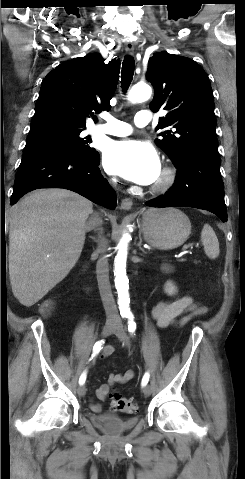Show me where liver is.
Segmentation results:
<instances>
[{
    "label": "liver",
    "instance_id": "1",
    "mask_svg": "<svg viewBox=\"0 0 245 479\" xmlns=\"http://www.w3.org/2000/svg\"><path fill=\"white\" fill-rule=\"evenodd\" d=\"M92 202L66 189H39L11 210L9 275L12 292L30 307L78 261Z\"/></svg>",
    "mask_w": 245,
    "mask_h": 479
}]
</instances>
